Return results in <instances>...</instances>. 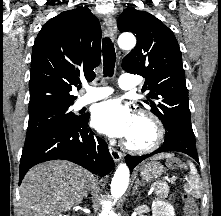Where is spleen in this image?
<instances>
[{
	"instance_id": "obj_1",
	"label": "spleen",
	"mask_w": 221,
	"mask_h": 216,
	"mask_svg": "<svg viewBox=\"0 0 221 216\" xmlns=\"http://www.w3.org/2000/svg\"><path fill=\"white\" fill-rule=\"evenodd\" d=\"M171 154L163 155L160 154L156 158L157 159H163L164 157H171ZM199 189H200V178L199 175L197 174V170L195 166L190 163V183L188 186L189 192L194 195L196 198H199Z\"/></svg>"
}]
</instances>
